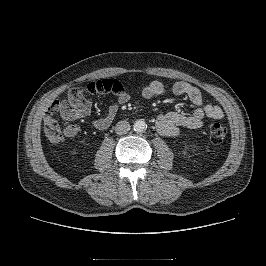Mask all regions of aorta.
<instances>
[{
    "label": "aorta",
    "instance_id": "1",
    "mask_svg": "<svg viewBox=\"0 0 266 266\" xmlns=\"http://www.w3.org/2000/svg\"><path fill=\"white\" fill-rule=\"evenodd\" d=\"M133 128L135 132L141 133L146 130L147 124L144 120L140 119V120L135 121Z\"/></svg>",
    "mask_w": 266,
    "mask_h": 266
}]
</instances>
